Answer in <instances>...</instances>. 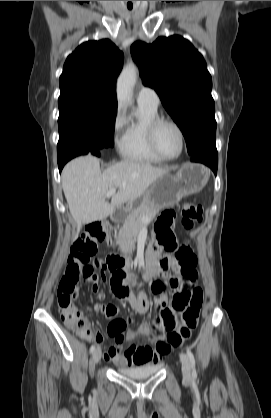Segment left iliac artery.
I'll list each match as a JSON object with an SVG mask.
<instances>
[{
  "label": "left iliac artery",
  "mask_w": 271,
  "mask_h": 418,
  "mask_svg": "<svg viewBox=\"0 0 271 418\" xmlns=\"http://www.w3.org/2000/svg\"><path fill=\"white\" fill-rule=\"evenodd\" d=\"M187 355L192 365V376L196 377L197 373H196V368H195V358H194L193 353L188 348H187Z\"/></svg>",
  "instance_id": "44dca946"
}]
</instances>
